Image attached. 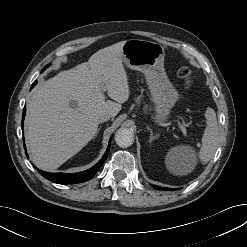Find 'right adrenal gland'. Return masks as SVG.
<instances>
[{"label": "right adrenal gland", "mask_w": 247, "mask_h": 247, "mask_svg": "<svg viewBox=\"0 0 247 247\" xmlns=\"http://www.w3.org/2000/svg\"><path fill=\"white\" fill-rule=\"evenodd\" d=\"M100 128H101V127H99L98 130L96 131V134H95L94 138H95V137L97 136V134L99 133Z\"/></svg>", "instance_id": "right-adrenal-gland-1"}]
</instances>
